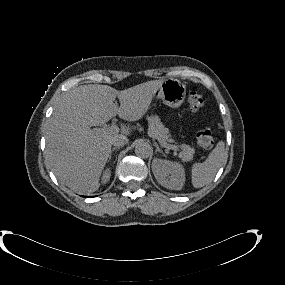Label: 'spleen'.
<instances>
[{
  "label": "spleen",
  "instance_id": "1",
  "mask_svg": "<svg viewBox=\"0 0 285 285\" xmlns=\"http://www.w3.org/2000/svg\"><path fill=\"white\" fill-rule=\"evenodd\" d=\"M225 159V144L219 141L203 163H195L192 166V184L195 188H201L213 181L216 173Z\"/></svg>",
  "mask_w": 285,
  "mask_h": 285
}]
</instances>
